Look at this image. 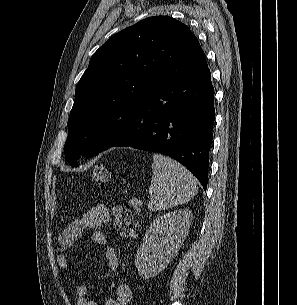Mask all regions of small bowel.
Masks as SVG:
<instances>
[{"label": "small bowel", "mask_w": 297, "mask_h": 305, "mask_svg": "<svg viewBox=\"0 0 297 305\" xmlns=\"http://www.w3.org/2000/svg\"><path fill=\"white\" fill-rule=\"evenodd\" d=\"M110 212L103 204L92 206L80 219L73 221L59 236V248L57 263L60 268L68 265V253L74 243L79 239L84 230L93 232V240L103 247L104 264L109 269L118 267V259L115 249L109 245L107 237L100 231L102 226L110 220ZM78 305H98L88 298V287L78 284L76 287ZM133 298L132 287L128 283H120L116 288L115 297L106 301L105 305H128Z\"/></svg>", "instance_id": "small-bowel-1"}]
</instances>
